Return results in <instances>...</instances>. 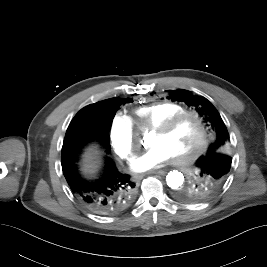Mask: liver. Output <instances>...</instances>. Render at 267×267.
<instances>
[{
  "instance_id": "liver-1",
  "label": "liver",
  "mask_w": 267,
  "mask_h": 267,
  "mask_svg": "<svg viewBox=\"0 0 267 267\" xmlns=\"http://www.w3.org/2000/svg\"><path fill=\"white\" fill-rule=\"evenodd\" d=\"M93 154L92 153H88L86 154L85 156V160H84V166H85V170H88L89 168H92L93 167Z\"/></svg>"
}]
</instances>
